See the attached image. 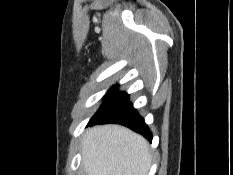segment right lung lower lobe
<instances>
[{
  "label": "right lung lower lobe",
  "mask_w": 233,
  "mask_h": 175,
  "mask_svg": "<svg viewBox=\"0 0 233 175\" xmlns=\"http://www.w3.org/2000/svg\"><path fill=\"white\" fill-rule=\"evenodd\" d=\"M128 97L129 96L127 94H122L107 108L94 116L88 125L92 126L106 123L121 124L137 133H140L151 142L152 134L150 129L145 124L144 119L139 115L137 110L133 108Z\"/></svg>",
  "instance_id": "1"
}]
</instances>
